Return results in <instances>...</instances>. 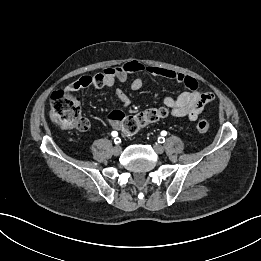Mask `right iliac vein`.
Masks as SVG:
<instances>
[{"label":"right iliac vein","mask_w":261,"mask_h":261,"mask_svg":"<svg viewBox=\"0 0 261 261\" xmlns=\"http://www.w3.org/2000/svg\"><path fill=\"white\" fill-rule=\"evenodd\" d=\"M112 152H113V154H114L115 156H119V155L121 154V152H122L121 146L116 145V146L113 148Z\"/></svg>","instance_id":"63e3f726"}]
</instances>
